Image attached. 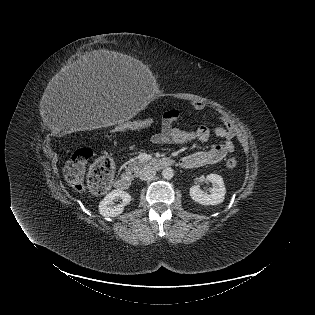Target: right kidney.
I'll return each mask as SVG.
<instances>
[{
	"label": "right kidney",
	"mask_w": 315,
	"mask_h": 315,
	"mask_svg": "<svg viewBox=\"0 0 315 315\" xmlns=\"http://www.w3.org/2000/svg\"><path fill=\"white\" fill-rule=\"evenodd\" d=\"M121 199V203L114 205V200ZM131 201V196L128 192L117 189L108 193L104 199L99 203V213L103 217H116L120 215L124 206L129 204Z\"/></svg>",
	"instance_id": "obj_1"
}]
</instances>
